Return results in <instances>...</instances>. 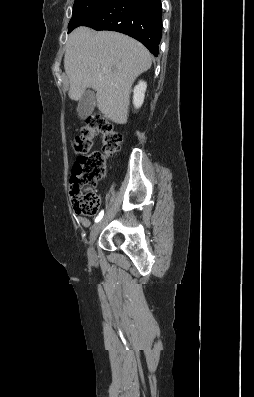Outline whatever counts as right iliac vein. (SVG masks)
<instances>
[{"mask_svg": "<svg viewBox=\"0 0 254 397\" xmlns=\"http://www.w3.org/2000/svg\"><path fill=\"white\" fill-rule=\"evenodd\" d=\"M103 225V220H100L97 222L91 229L90 236H89V247H88V256L90 258H93L95 256V251H94V242L102 228Z\"/></svg>", "mask_w": 254, "mask_h": 397, "instance_id": "obj_1", "label": "right iliac vein"}]
</instances>
